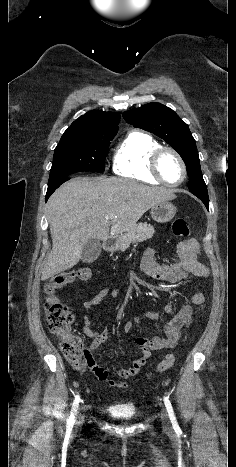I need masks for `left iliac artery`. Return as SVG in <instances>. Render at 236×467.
Wrapping results in <instances>:
<instances>
[{"mask_svg":"<svg viewBox=\"0 0 236 467\" xmlns=\"http://www.w3.org/2000/svg\"><path fill=\"white\" fill-rule=\"evenodd\" d=\"M164 404H165V407H166V409L168 411V414H169V417H170V420H171V423H172L173 427L174 428L178 427V423H177L176 417L174 415V411H173L171 402H170L168 397H164Z\"/></svg>","mask_w":236,"mask_h":467,"instance_id":"obj_1","label":"left iliac artery"}]
</instances>
